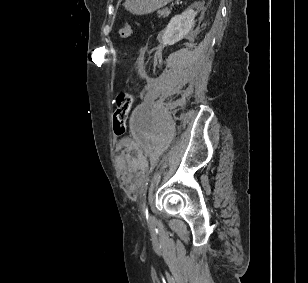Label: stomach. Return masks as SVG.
<instances>
[{
	"mask_svg": "<svg viewBox=\"0 0 308 283\" xmlns=\"http://www.w3.org/2000/svg\"><path fill=\"white\" fill-rule=\"evenodd\" d=\"M171 1L172 0H126L124 6L132 14L144 15L156 11Z\"/></svg>",
	"mask_w": 308,
	"mask_h": 283,
	"instance_id": "stomach-1",
	"label": "stomach"
}]
</instances>
